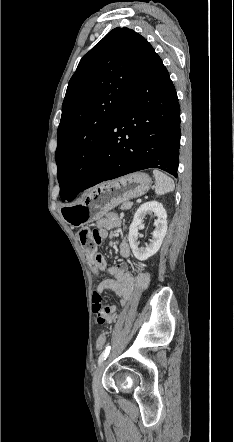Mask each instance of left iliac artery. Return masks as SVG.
I'll return each mask as SVG.
<instances>
[{"label": "left iliac artery", "mask_w": 234, "mask_h": 442, "mask_svg": "<svg viewBox=\"0 0 234 442\" xmlns=\"http://www.w3.org/2000/svg\"><path fill=\"white\" fill-rule=\"evenodd\" d=\"M110 351V346L106 347V349L101 353L98 359V364L100 365L104 360H106Z\"/></svg>", "instance_id": "left-iliac-artery-1"}]
</instances>
